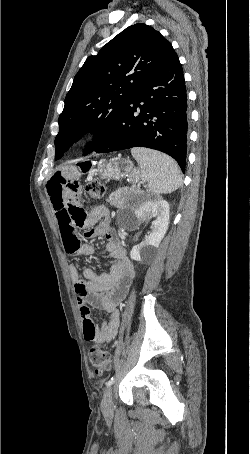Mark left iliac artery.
<instances>
[{"label": "left iliac artery", "mask_w": 250, "mask_h": 454, "mask_svg": "<svg viewBox=\"0 0 250 454\" xmlns=\"http://www.w3.org/2000/svg\"><path fill=\"white\" fill-rule=\"evenodd\" d=\"M113 383H114V377H111V379L106 382V387H110Z\"/></svg>", "instance_id": "44dca946"}]
</instances>
